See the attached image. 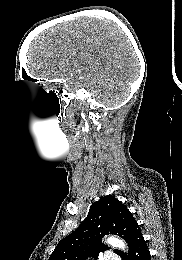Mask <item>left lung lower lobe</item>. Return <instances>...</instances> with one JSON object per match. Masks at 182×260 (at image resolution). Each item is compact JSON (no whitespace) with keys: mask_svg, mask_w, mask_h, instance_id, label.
<instances>
[{"mask_svg":"<svg viewBox=\"0 0 182 260\" xmlns=\"http://www.w3.org/2000/svg\"><path fill=\"white\" fill-rule=\"evenodd\" d=\"M129 255L120 254L122 260H151V256L146 244L143 239L141 229L139 225L132 231L128 238Z\"/></svg>","mask_w":182,"mask_h":260,"instance_id":"left-lung-lower-lobe-1","label":"left lung lower lobe"}]
</instances>
